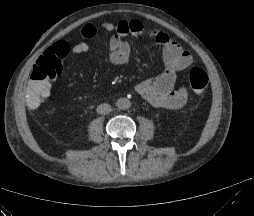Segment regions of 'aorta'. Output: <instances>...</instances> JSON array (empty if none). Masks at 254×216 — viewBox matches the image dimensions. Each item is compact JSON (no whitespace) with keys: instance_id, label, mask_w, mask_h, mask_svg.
<instances>
[{"instance_id":"762f6f07","label":"aorta","mask_w":254,"mask_h":216,"mask_svg":"<svg viewBox=\"0 0 254 216\" xmlns=\"http://www.w3.org/2000/svg\"><path fill=\"white\" fill-rule=\"evenodd\" d=\"M116 106L120 110H127V109H129L131 107V102L127 98H124V97L123 98H119L116 101Z\"/></svg>"}]
</instances>
